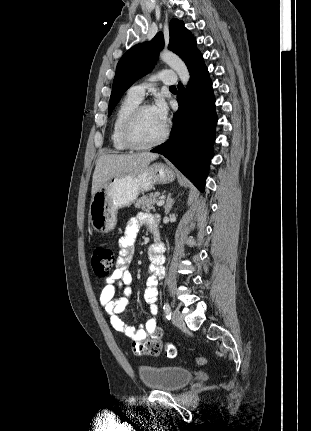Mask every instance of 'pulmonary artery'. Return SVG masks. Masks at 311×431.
I'll return each mask as SVG.
<instances>
[{"label":"pulmonary artery","instance_id":"pulmonary-artery-1","mask_svg":"<svg viewBox=\"0 0 311 431\" xmlns=\"http://www.w3.org/2000/svg\"><path fill=\"white\" fill-rule=\"evenodd\" d=\"M169 72H170L169 70L162 71V72L158 73L157 75H154V76L148 78L147 80H145L139 84L133 85L129 89V91L132 94L139 97L140 99H142L144 92L148 88L153 87L155 85L156 81H158V80L163 82L164 84H168V85L173 84L175 82V80L167 76V73H169Z\"/></svg>","mask_w":311,"mask_h":431}]
</instances>
